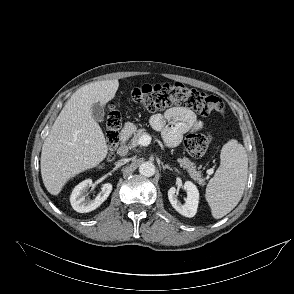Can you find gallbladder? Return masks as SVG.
<instances>
[{
    "label": "gallbladder",
    "instance_id": "obj_1",
    "mask_svg": "<svg viewBox=\"0 0 294 294\" xmlns=\"http://www.w3.org/2000/svg\"><path fill=\"white\" fill-rule=\"evenodd\" d=\"M105 112H104V108L100 103H94L92 105V116L93 118L98 121L101 122L103 121Z\"/></svg>",
    "mask_w": 294,
    "mask_h": 294
}]
</instances>
